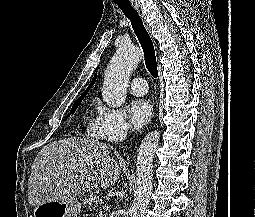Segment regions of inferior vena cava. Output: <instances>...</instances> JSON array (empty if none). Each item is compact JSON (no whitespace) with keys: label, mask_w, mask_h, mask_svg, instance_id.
<instances>
[{"label":"inferior vena cava","mask_w":255,"mask_h":217,"mask_svg":"<svg viewBox=\"0 0 255 217\" xmlns=\"http://www.w3.org/2000/svg\"><path fill=\"white\" fill-rule=\"evenodd\" d=\"M127 137V129H121L120 134H119V140L124 141Z\"/></svg>","instance_id":"inferior-vena-cava-1"}]
</instances>
